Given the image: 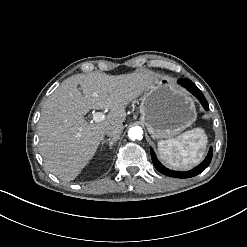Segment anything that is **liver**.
<instances>
[{
  "instance_id": "6515ba94",
  "label": "liver",
  "mask_w": 247,
  "mask_h": 247,
  "mask_svg": "<svg viewBox=\"0 0 247 247\" xmlns=\"http://www.w3.org/2000/svg\"><path fill=\"white\" fill-rule=\"evenodd\" d=\"M158 80L150 70L116 76L92 72L64 80L44 102L38 122L45 168L63 181L74 180L95 155L105 128L123 123L126 106ZM91 109L110 112L103 121L89 124L83 115Z\"/></svg>"
}]
</instances>
